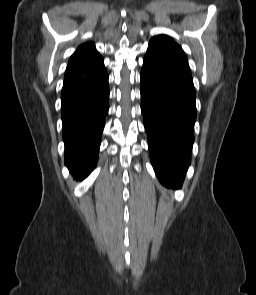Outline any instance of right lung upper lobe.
I'll list each match as a JSON object with an SVG mask.
<instances>
[{"label":"right lung upper lobe","instance_id":"right-lung-upper-lobe-1","mask_svg":"<svg viewBox=\"0 0 256 295\" xmlns=\"http://www.w3.org/2000/svg\"><path fill=\"white\" fill-rule=\"evenodd\" d=\"M98 57L101 56L97 52L94 43L82 44L71 56L67 68Z\"/></svg>","mask_w":256,"mask_h":295}]
</instances>
